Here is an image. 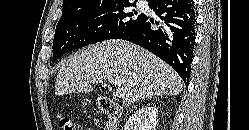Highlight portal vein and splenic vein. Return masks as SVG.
Segmentation results:
<instances>
[{
	"label": "portal vein and splenic vein",
	"instance_id": "18ae733b",
	"mask_svg": "<svg viewBox=\"0 0 249 130\" xmlns=\"http://www.w3.org/2000/svg\"><path fill=\"white\" fill-rule=\"evenodd\" d=\"M93 82H94V83H98V82H102V80H100V79H93ZM124 94H125L124 88H118V89L116 90V93H115V95H116L118 98L124 97Z\"/></svg>",
	"mask_w": 249,
	"mask_h": 130
}]
</instances>
